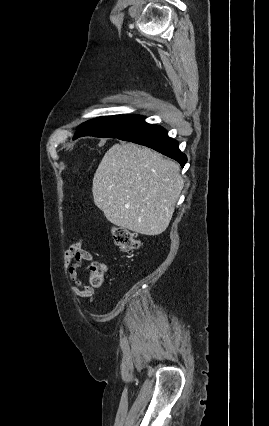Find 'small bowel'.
Returning a JSON list of instances; mask_svg holds the SVG:
<instances>
[{
	"label": "small bowel",
	"instance_id": "small-bowel-1",
	"mask_svg": "<svg viewBox=\"0 0 269 426\" xmlns=\"http://www.w3.org/2000/svg\"><path fill=\"white\" fill-rule=\"evenodd\" d=\"M94 257L88 249L86 243L79 240L73 243L65 252L64 267L67 277L73 282V293L83 299H87L92 303L95 299V287L86 284L78 276V269L84 262H93Z\"/></svg>",
	"mask_w": 269,
	"mask_h": 426
}]
</instances>
